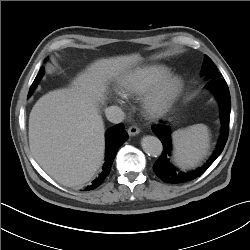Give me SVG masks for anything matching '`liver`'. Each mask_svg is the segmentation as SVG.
Segmentation results:
<instances>
[{
	"instance_id": "obj_1",
	"label": "liver",
	"mask_w": 250,
	"mask_h": 250,
	"mask_svg": "<svg viewBox=\"0 0 250 250\" xmlns=\"http://www.w3.org/2000/svg\"><path fill=\"white\" fill-rule=\"evenodd\" d=\"M141 60L139 54L100 59L68 88L43 95L29 116V145L42 169L64 186L88 182L102 165L104 122L98 102L106 81Z\"/></svg>"
}]
</instances>
